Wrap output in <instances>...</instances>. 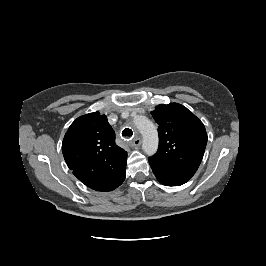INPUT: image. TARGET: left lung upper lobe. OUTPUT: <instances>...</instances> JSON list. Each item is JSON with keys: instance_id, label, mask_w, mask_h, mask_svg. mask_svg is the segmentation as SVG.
<instances>
[{"instance_id": "obj_1", "label": "left lung upper lobe", "mask_w": 266, "mask_h": 266, "mask_svg": "<svg viewBox=\"0 0 266 266\" xmlns=\"http://www.w3.org/2000/svg\"><path fill=\"white\" fill-rule=\"evenodd\" d=\"M159 124V148L149 158L158 181L179 186L197 171L207 144L203 123L186 107L178 103L158 105L151 112Z\"/></svg>"}]
</instances>
